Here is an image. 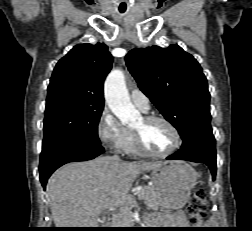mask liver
<instances>
[{"label": "liver", "instance_id": "6515ba94", "mask_svg": "<svg viewBox=\"0 0 252 231\" xmlns=\"http://www.w3.org/2000/svg\"><path fill=\"white\" fill-rule=\"evenodd\" d=\"M166 162H113L99 157L74 162L50 177L47 192L57 228H99L100 213L117 207L127 196L136 177Z\"/></svg>", "mask_w": 252, "mask_h": 231}]
</instances>
